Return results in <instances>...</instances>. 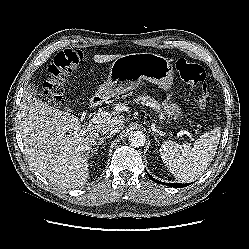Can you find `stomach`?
<instances>
[{
	"instance_id": "obj_1",
	"label": "stomach",
	"mask_w": 249,
	"mask_h": 249,
	"mask_svg": "<svg viewBox=\"0 0 249 249\" xmlns=\"http://www.w3.org/2000/svg\"><path fill=\"white\" fill-rule=\"evenodd\" d=\"M174 71L168 58L154 53H133L118 57L110 67L108 79L98 88L96 95L109 98L124 94L147 80L169 91ZM168 117L176 121L181 115L180 107L165 101Z\"/></svg>"
}]
</instances>
